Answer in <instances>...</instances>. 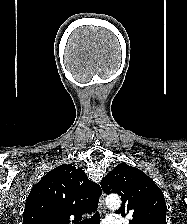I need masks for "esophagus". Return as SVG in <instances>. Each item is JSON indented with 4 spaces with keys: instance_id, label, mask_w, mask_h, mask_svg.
<instances>
[{
    "instance_id": "obj_1",
    "label": "esophagus",
    "mask_w": 187,
    "mask_h": 224,
    "mask_svg": "<svg viewBox=\"0 0 187 224\" xmlns=\"http://www.w3.org/2000/svg\"><path fill=\"white\" fill-rule=\"evenodd\" d=\"M99 208H100V211L102 213H105L106 212L104 192L101 193V196H100V199H99Z\"/></svg>"
}]
</instances>
